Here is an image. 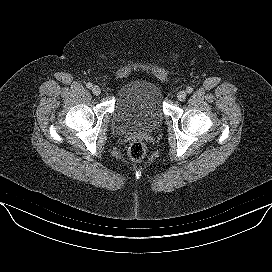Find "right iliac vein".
Instances as JSON below:
<instances>
[{"instance_id": "1", "label": "right iliac vein", "mask_w": 272, "mask_h": 272, "mask_svg": "<svg viewBox=\"0 0 272 272\" xmlns=\"http://www.w3.org/2000/svg\"><path fill=\"white\" fill-rule=\"evenodd\" d=\"M92 92L94 95L98 96L101 94V88L95 85L94 87H92Z\"/></svg>"}]
</instances>
